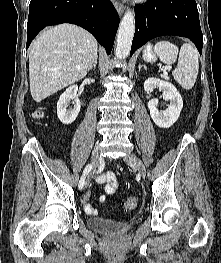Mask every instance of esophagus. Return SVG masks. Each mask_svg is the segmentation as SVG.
Instances as JSON below:
<instances>
[{
	"label": "esophagus",
	"mask_w": 221,
	"mask_h": 263,
	"mask_svg": "<svg viewBox=\"0 0 221 263\" xmlns=\"http://www.w3.org/2000/svg\"><path fill=\"white\" fill-rule=\"evenodd\" d=\"M113 5L116 8L119 15H122L124 12V6L120 2L113 0Z\"/></svg>",
	"instance_id": "1"
}]
</instances>
